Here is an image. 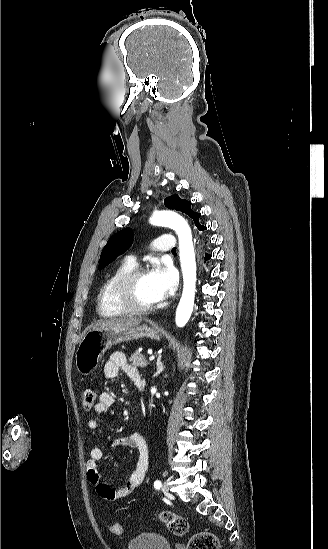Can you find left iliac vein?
I'll list each match as a JSON object with an SVG mask.
<instances>
[{
  "label": "left iliac vein",
  "mask_w": 328,
  "mask_h": 549,
  "mask_svg": "<svg viewBox=\"0 0 328 549\" xmlns=\"http://www.w3.org/2000/svg\"><path fill=\"white\" fill-rule=\"evenodd\" d=\"M162 491H163L164 493H169V485H168V482H167V481H165V482L163 483V485H162Z\"/></svg>",
  "instance_id": "4c4485c4"
}]
</instances>
